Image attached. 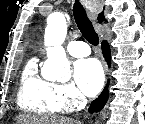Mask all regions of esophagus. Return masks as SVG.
Wrapping results in <instances>:
<instances>
[{
  "label": "esophagus",
  "instance_id": "1",
  "mask_svg": "<svg viewBox=\"0 0 145 124\" xmlns=\"http://www.w3.org/2000/svg\"><path fill=\"white\" fill-rule=\"evenodd\" d=\"M90 4H91V7H89V5H87L88 15L92 20H95L98 12L100 10V7L96 1H91Z\"/></svg>",
  "mask_w": 145,
  "mask_h": 124
}]
</instances>
